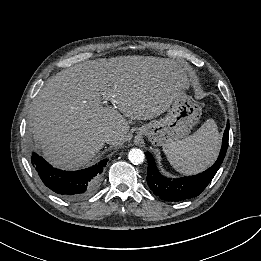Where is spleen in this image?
Instances as JSON below:
<instances>
[{"label":"spleen","mask_w":261,"mask_h":261,"mask_svg":"<svg viewBox=\"0 0 261 261\" xmlns=\"http://www.w3.org/2000/svg\"><path fill=\"white\" fill-rule=\"evenodd\" d=\"M221 136L213 119H208L194 134L163 145V151L173 166L182 174L201 172L211 165L220 149Z\"/></svg>","instance_id":"spleen-1"}]
</instances>
